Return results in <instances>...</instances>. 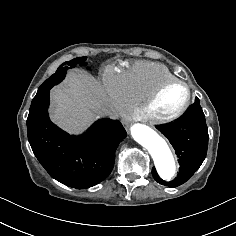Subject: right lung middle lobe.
<instances>
[{
  "label": "right lung middle lobe",
  "instance_id": "1",
  "mask_svg": "<svg viewBox=\"0 0 236 236\" xmlns=\"http://www.w3.org/2000/svg\"><path fill=\"white\" fill-rule=\"evenodd\" d=\"M86 60H87V57L84 56V57H77L75 59H72L68 62L63 63L50 78L44 81V83L39 87L36 95H39L45 92L47 89H50L54 85L60 83L64 79L66 75V71L69 68H74L78 65L86 66L87 65Z\"/></svg>",
  "mask_w": 236,
  "mask_h": 236
}]
</instances>
